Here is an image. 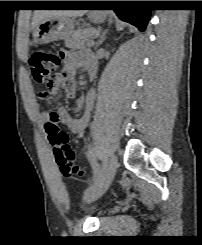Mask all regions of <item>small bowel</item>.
I'll list each match as a JSON object with an SVG mask.
<instances>
[{"mask_svg": "<svg viewBox=\"0 0 202 245\" xmlns=\"http://www.w3.org/2000/svg\"><path fill=\"white\" fill-rule=\"evenodd\" d=\"M65 74L64 78L58 80V84L65 92V96L69 99H73L76 96V84L75 78L79 68H84L86 71L95 70L96 63L92 56L83 55L79 52L64 50L61 53ZM84 104L85 110L78 117H72L66 108H61L56 111H43L38 112V119L45 123L49 119L51 114H56L59 121L65 125L69 130L74 133L81 134L87 127L90 120V112L94 104V93H89L84 103L79 102V107Z\"/></svg>", "mask_w": 202, "mask_h": 245, "instance_id": "c3829d8e", "label": "small bowel"}]
</instances>
